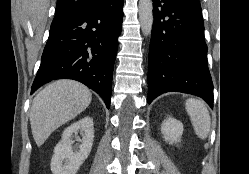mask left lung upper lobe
Instances as JSON below:
<instances>
[{
    "label": "left lung upper lobe",
    "mask_w": 249,
    "mask_h": 174,
    "mask_svg": "<svg viewBox=\"0 0 249 174\" xmlns=\"http://www.w3.org/2000/svg\"><path fill=\"white\" fill-rule=\"evenodd\" d=\"M180 1L184 2L188 7L202 13L199 0H180Z\"/></svg>",
    "instance_id": "left-lung-upper-lobe-1"
}]
</instances>
